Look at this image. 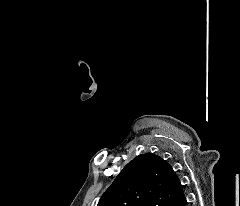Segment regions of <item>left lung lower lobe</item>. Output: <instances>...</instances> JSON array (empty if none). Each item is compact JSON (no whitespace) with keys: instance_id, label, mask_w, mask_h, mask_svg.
Instances as JSON below:
<instances>
[{"instance_id":"0a47b994","label":"left lung lower lobe","mask_w":240,"mask_h":206,"mask_svg":"<svg viewBox=\"0 0 240 206\" xmlns=\"http://www.w3.org/2000/svg\"><path fill=\"white\" fill-rule=\"evenodd\" d=\"M169 206H188L186 194L182 185L176 196L169 204Z\"/></svg>"}]
</instances>
